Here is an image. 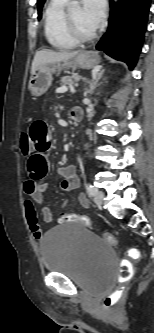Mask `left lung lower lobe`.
Wrapping results in <instances>:
<instances>
[{"label":"left lung lower lobe","mask_w":154,"mask_h":333,"mask_svg":"<svg viewBox=\"0 0 154 333\" xmlns=\"http://www.w3.org/2000/svg\"><path fill=\"white\" fill-rule=\"evenodd\" d=\"M151 0H120L114 6L105 35L96 46L109 56L126 62L132 69L144 39Z\"/></svg>","instance_id":"1"}]
</instances>
